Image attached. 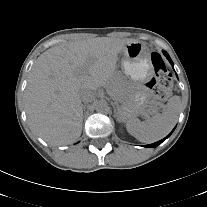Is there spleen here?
Instances as JSON below:
<instances>
[{
    "instance_id": "1",
    "label": "spleen",
    "mask_w": 207,
    "mask_h": 207,
    "mask_svg": "<svg viewBox=\"0 0 207 207\" xmlns=\"http://www.w3.org/2000/svg\"><path fill=\"white\" fill-rule=\"evenodd\" d=\"M180 112V97L172 96L162 113H156L144 121L131 117L126 122L130 135L143 143H152L165 137L175 126Z\"/></svg>"
}]
</instances>
